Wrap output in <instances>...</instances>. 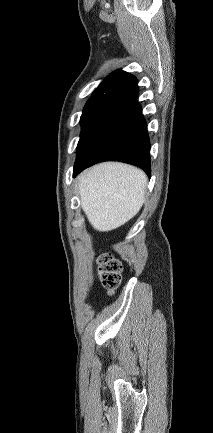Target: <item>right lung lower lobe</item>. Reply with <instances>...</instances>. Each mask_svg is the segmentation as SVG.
<instances>
[{"mask_svg": "<svg viewBox=\"0 0 213 433\" xmlns=\"http://www.w3.org/2000/svg\"><path fill=\"white\" fill-rule=\"evenodd\" d=\"M138 92L136 84L121 92L92 120L77 146L74 177L96 163L116 160L136 165L150 177V142Z\"/></svg>", "mask_w": 213, "mask_h": 433, "instance_id": "right-lung-lower-lobe-1", "label": "right lung lower lobe"}]
</instances>
